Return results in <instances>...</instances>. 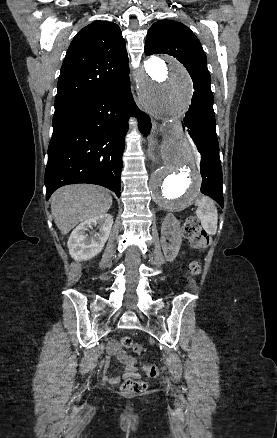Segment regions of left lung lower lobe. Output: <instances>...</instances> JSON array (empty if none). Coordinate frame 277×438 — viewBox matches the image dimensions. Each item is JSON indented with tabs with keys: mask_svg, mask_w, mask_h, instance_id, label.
<instances>
[{
	"mask_svg": "<svg viewBox=\"0 0 277 438\" xmlns=\"http://www.w3.org/2000/svg\"><path fill=\"white\" fill-rule=\"evenodd\" d=\"M184 123L190 129L189 134L201 154V192L213 198L223 207L222 168L213 103L201 105L192 102L184 118Z\"/></svg>",
	"mask_w": 277,
	"mask_h": 438,
	"instance_id": "obj_1",
	"label": "left lung lower lobe"
}]
</instances>
